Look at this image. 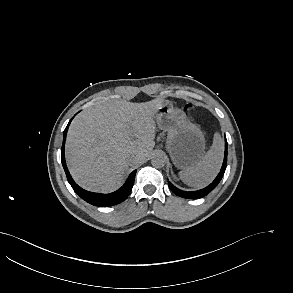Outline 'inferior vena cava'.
<instances>
[{"label": "inferior vena cava", "mask_w": 293, "mask_h": 293, "mask_svg": "<svg viewBox=\"0 0 293 293\" xmlns=\"http://www.w3.org/2000/svg\"><path fill=\"white\" fill-rule=\"evenodd\" d=\"M128 161L131 165H135L140 162V156L139 155H132L129 157Z\"/></svg>", "instance_id": "obj_1"}]
</instances>
